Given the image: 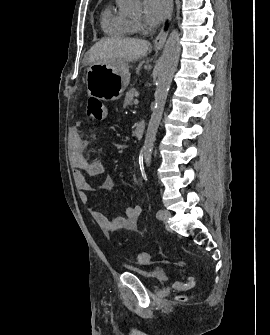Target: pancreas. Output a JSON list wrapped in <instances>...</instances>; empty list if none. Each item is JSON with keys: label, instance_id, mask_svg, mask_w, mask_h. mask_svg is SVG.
Here are the masks:
<instances>
[{"label": "pancreas", "instance_id": "obj_1", "mask_svg": "<svg viewBox=\"0 0 270 335\" xmlns=\"http://www.w3.org/2000/svg\"><path fill=\"white\" fill-rule=\"evenodd\" d=\"M134 94H136L135 88H131V90H128V92H126L123 108H127V106H132Z\"/></svg>", "mask_w": 270, "mask_h": 335}]
</instances>
